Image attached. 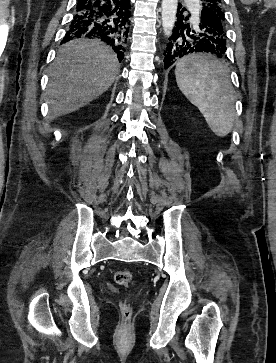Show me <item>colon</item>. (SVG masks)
I'll return each mask as SVG.
<instances>
[{"instance_id": "obj_1", "label": "colon", "mask_w": 276, "mask_h": 363, "mask_svg": "<svg viewBox=\"0 0 276 363\" xmlns=\"http://www.w3.org/2000/svg\"><path fill=\"white\" fill-rule=\"evenodd\" d=\"M132 273L128 270H118L114 273L115 282L124 287H128L132 283ZM119 311L121 319L126 322L131 316V306L128 302L123 301L120 303Z\"/></svg>"}]
</instances>
